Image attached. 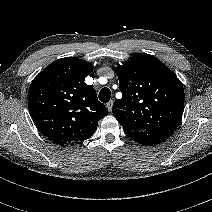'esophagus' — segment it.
I'll return each mask as SVG.
<instances>
[{
	"instance_id": "obj_1",
	"label": "esophagus",
	"mask_w": 212,
	"mask_h": 212,
	"mask_svg": "<svg viewBox=\"0 0 212 212\" xmlns=\"http://www.w3.org/2000/svg\"><path fill=\"white\" fill-rule=\"evenodd\" d=\"M106 107H107V109L111 112V111H112V108H113V101H109V102L106 104Z\"/></svg>"
}]
</instances>
